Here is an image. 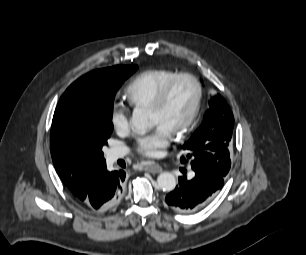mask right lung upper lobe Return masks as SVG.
<instances>
[{
    "instance_id": "right-lung-upper-lobe-1",
    "label": "right lung upper lobe",
    "mask_w": 306,
    "mask_h": 255,
    "mask_svg": "<svg viewBox=\"0 0 306 255\" xmlns=\"http://www.w3.org/2000/svg\"><path fill=\"white\" fill-rule=\"evenodd\" d=\"M118 67L113 66L110 68L98 69L87 73L79 78L65 91L66 93L78 91L81 93H90L101 87L108 85L110 82L117 80ZM69 188L71 183L64 182Z\"/></svg>"
}]
</instances>
